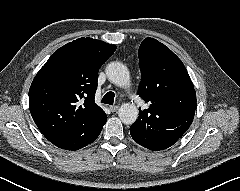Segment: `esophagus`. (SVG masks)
Masks as SVG:
<instances>
[{
	"mask_svg": "<svg viewBox=\"0 0 240 191\" xmlns=\"http://www.w3.org/2000/svg\"><path fill=\"white\" fill-rule=\"evenodd\" d=\"M118 109H119V106H117V105L110 106V110L112 112H116Z\"/></svg>",
	"mask_w": 240,
	"mask_h": 191,
	"instance_id": "obj_1",
	"label": "esophagus"
}]
</instances>
